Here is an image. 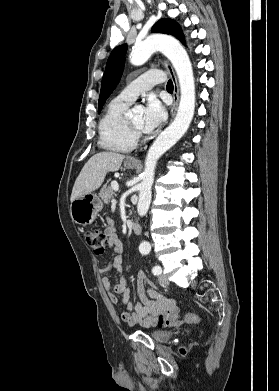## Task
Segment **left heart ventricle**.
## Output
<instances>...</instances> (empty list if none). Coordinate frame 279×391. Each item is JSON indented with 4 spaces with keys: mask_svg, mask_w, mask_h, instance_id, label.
Returning a JSON list of instances; mask_svg holds the SVG:
<instances>
[{
    "mask_svg": "<svg viewBox=\"0 0 279 391\" xmlns=\"http://www.w3.org/2000/svg\"><path fill=\"white\" fill-rule=\"evenodd\" d=\"M131 121L139 128L143 129V114L142 112L136 113L130 117Z\"/></svg>",
    "mask_w": 279,
    "mask_h": 391,
    "instance_id": "left-heart-ventricle-1",
    "label": "left heart ventricle"
}]
</instances>
